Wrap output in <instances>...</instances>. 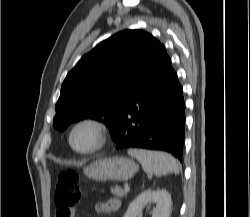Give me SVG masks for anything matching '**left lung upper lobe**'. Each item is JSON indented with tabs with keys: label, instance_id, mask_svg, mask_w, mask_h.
<instances>
[{
	"label": "left lung upper lobe",
	"instance_id": "1",
	"mask_svg": "<svg viewBox=\"0 0 250 217\" xmlns=\"http://www.w3.org/2000/svg\"><path fill=\"white\" fill-rule=\"evenodd\" d=\"M162 44L142 30H125L98 44L67 74L54 126L90 118L105 123L112 135L132 92L152 67Z\"/></svg>",
	"mask_w": 250,
	"mask_h": 217
}]
</instances>
